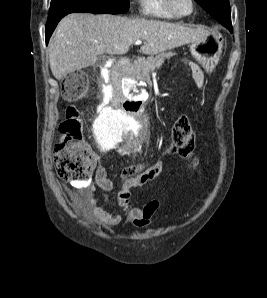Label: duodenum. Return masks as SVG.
I'll return each mask as SVG.
<instances>
[{"label":"duodenum","instance_id":"1","mask_svg":"<svg viewBox=\"0 0 267 298\" xmlns=\"http://www.w3.org/2000/svg\"><path fill=\"white\" fill-rule=\"evenodd\" d=\"M131 62L128 58H123L118 62L117 67L112 68V75H109L110 84L107 89L115 92V101H112L113 112H119V115H151L144 100H138V97H128L126 93V84L123 82L124 76H129Z\"/></svg>","mask_w":267,"mask_h":298}]
</instances>
